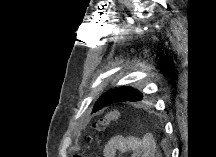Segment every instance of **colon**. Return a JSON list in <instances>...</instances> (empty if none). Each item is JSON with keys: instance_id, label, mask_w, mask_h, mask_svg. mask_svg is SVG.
<instances>
[{"instance_id": "colon-1", "label": "colon", "mask_w": 216, "mask_h": 157, "mask_svg": "<svg viewBox=\"0 0 216 157\" xmlns=\"http://www.w3.org/2000/svg\"><path fill=\"white\" fill-rule=\"evenodd\" d=\"M121 117V112L119 110H112L104 117L100 118L93 124V131L87 137V142L90 146H97L101 141V134L105 130V128L119 120ZM73 157H79V155L75 154Z\"/></svg>"}]
</instances>
